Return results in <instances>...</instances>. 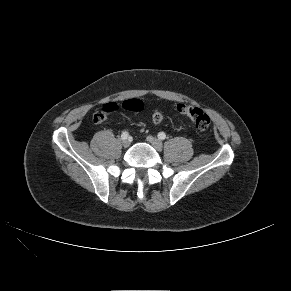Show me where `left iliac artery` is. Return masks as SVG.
<instances>
[{
	"instance_id": "obj_1",
	"label": "left iliac artery",
	"mask_w": 291,
	"mask_h": 291,
	"mask_svg": "<svg viewBox=\"0 0 291 291\" xmlns=\"http://www.w3.org/2000/svg\"><path fill=\"white\" fill-rule=\"evenodd\" d=\"M158 138L161 139V140H164L166 138L165 133L164 132H159Z\"/></svg>"
}]
</instances>
